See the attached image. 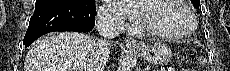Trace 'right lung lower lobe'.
<instances>
[{"instance_id":"right-lung-lower-lobe-1","label":"right lung lower lobe","mask_w":230,"mask_h":71,"mask_svg":"<svg viewBox=\"0 0 230 71\" xmlns=\"http://www.w3.org/2000/svg\"><path fill=\"white\" fill-rule=\"evenodd\" d=\"M96 9L74 5L47 4L35 7L23 40L28 47L40 36L55 31L90 32L95 25Z\"/></svg>"}]
</instances>
